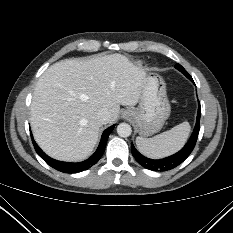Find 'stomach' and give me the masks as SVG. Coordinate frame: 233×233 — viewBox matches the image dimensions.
<instances>
[{"instance_id":"stomach-1","label":"stomach","mask_w":233,"mask_h":233,"mask_svg":"<svg viewBox=\"0 0 233 233\" xmlns=\"http://www.w3.org/2000/svg\"><path fill=\"white\" fill-rule=\"evenodd\" d=\"M170 112L163 78L149 72L142 83L138 107L124 111L123 117H130L141 136H151L160 131Z\"/></svg>"}]
</instances>
